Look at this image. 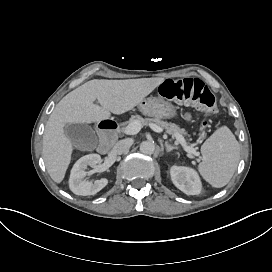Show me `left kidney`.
<instances>
[{
	"label": "left kidney",
	"instance_id": "left-kidney-1",
	"mask_svg": "<svg viewBox=\"0 0 272 272\" xmlns=\"http://www.w3.org/2000/svg\"><path fill=\"white\" fill-rule=\"evenodd\" d=\"M173 184L187 195H198L202 190V184L197 172L185 166H172L170 169Z\"/></svg>",
	"mask_w": 272,
	"mask_h": 272
}]
</instances>
